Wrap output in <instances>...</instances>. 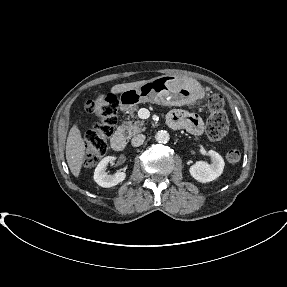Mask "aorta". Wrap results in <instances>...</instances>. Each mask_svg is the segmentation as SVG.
I'll list each match as a JSON object with an SVG mask.
<instances>
[{
  "mask_svg": "<svg viewBox=\"0 0 287 287\" xmlns=\"http://www.w3.org/2000/svg\"><path fill=\"white\" fill-rule=\"evenodd\" d=\"M155 139L158 143H167L170 140V135L165 130H160L156 133Z\"/></svg>",
  "mask_w": 287,
  "mask_h": 287,
  "instance_id": "762f6f07",
  "label": "aorta"
}]
</instances>
